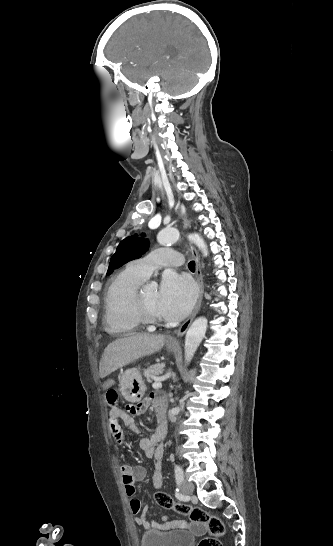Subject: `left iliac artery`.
I'll return each instance as SVG.
<instances>
[{
    "instance_id": "obj_1",
    "label": "left iliac artery",
    "mask_w": 333,
    "mask_h": 546,
    "mask_svg": "<svg viewBox=\"0 0 333 546\" xmlns=\"http://www.w3.org/2000/svg\"><path fill=\"white\" fill-rule=\"evenodd\" d=\"M175 478L178 485L183 481L184 478L183 470L179 465H175Z\"/></svg>"
}]
</instances>
